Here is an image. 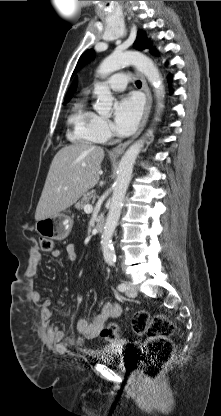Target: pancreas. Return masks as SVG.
I'll return each instance as SVG.
<instances>
[{
    "label": "pancreas",
    "mask_w": 221,
    "mask_h": 416,
    "mask_svg": "<svg viewBox=\"0 0 221 416\" xmlns=\"http://www.w3.org/2000/svg\"><path fill=\"white\" fill-rule=\"evenodd\" d=\"M95 197H96L95 190L87 192L83 195L82 199L75 204V207L79 210H82L84 209V206L86 204H89L90 200L94 199Z\"/></svg>",
    "instance_id": "cf45deb5"
}]
</instances>
